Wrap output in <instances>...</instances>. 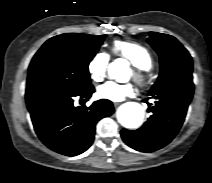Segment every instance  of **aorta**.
I'll return each mask as SVG.
<instances>
[{"label":"aorta","mask_w":212,"mask_h":183,"mask_svg":"<svg viewBox=\"0 0 212 183\" xmlns=\"http://www.w3.org/2000/svg\"><path fill=\"white\" fill-rule=\"evenodd\" d=\"M126 61L123 59H117L109 66V75L115 77V69L117 67H125ZM118 122L128 129H134L139 127L144 120L143 107L135 102H127L120 106L117 112Z\"/></svg>","instance_id":"aorta-1"}]
</instances>
